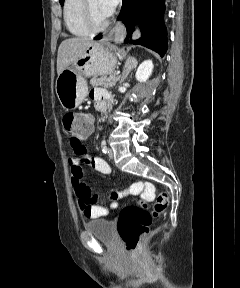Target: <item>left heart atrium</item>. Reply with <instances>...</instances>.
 I'll return each mask as SVG.
<instances>
[{
  "label": "left heart atrium",
  "instance_id": "obj_1",
  "mask_svg": "<svg viewBox=\"0 0 240 288\" xmlns=\"http://www.w3.org/2000/svg\"><path fill=\"white\" fill-rule=\"evenodd\" d=\"M119 0H98L99 7L106 17L114 12Z\"/></svg>",
  "mask_w": 240,
  "mask_h": 288
}]
</instances>
